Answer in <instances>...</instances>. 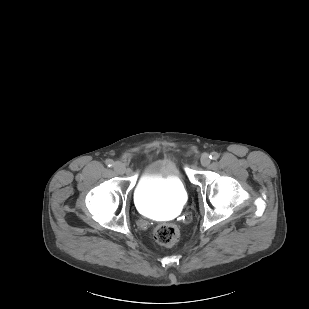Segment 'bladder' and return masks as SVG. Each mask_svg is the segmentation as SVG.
<instances>
[{
    "label": "bladder",
    "instance_id": "1",
    "mask_svg": "<svg viewBox=\"0 0 309 309\" xmlns=\"http://www.w3.org/2000/svg\"><path fill=\"white\" fill-rule=\"evenodd\" d=\"M134 199L147 216L167 218L187 203V189L176 163L168 158L149 162L138 176Z\"/></svg>",
    "mask_w": 309,
    "mask_h": 309
}]
</instances>
